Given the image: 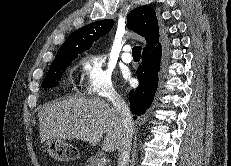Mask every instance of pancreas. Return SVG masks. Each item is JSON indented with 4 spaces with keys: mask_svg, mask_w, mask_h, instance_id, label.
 Segmentation results:
<instances>
[{
    "mask_svg": "<svg viewBox=\"0 0 231 166\" xmlns=\"http://www.w3.org/2000/svg\"><path fill=\"white\" fill-rule=\"evenodd\" d=\"M85 166H107L100 157L90 156L85 163Z\"/></svg>",
    "mask_w": 231,
    "mask_h": 166,
    "instance_id": "pancreas-1",
    "label": "pancreas"
}]
</instances>
